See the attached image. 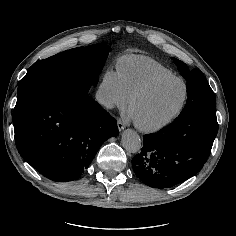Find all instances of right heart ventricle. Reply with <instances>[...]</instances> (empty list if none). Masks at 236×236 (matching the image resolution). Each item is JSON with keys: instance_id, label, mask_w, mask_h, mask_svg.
I'll list each match as a JSON object with an SVG mask.
<instances>
[{"instance_id": "right-heart-ventricle-1", "label": "right heart ventricle", "mask_w": 236, "mask_h": 236, "mask_svg": "<svg viewBox=\"0 0 236 236\" xmlns=\"http://www.w3.org/2000/svg\"><path fill=\"white\" fill-rule=\"evenodd\" d=\"M116 67L129 96L155 78L174 75L171 69L146 55H124L118 58Z\"/></svg>"}]
</instances>
